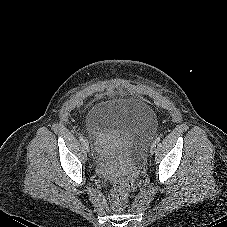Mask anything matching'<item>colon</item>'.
<instances>
[{
    "mask_svg": "<svg viewBox=\"0 0 227 227\" xmlns=\"http://www.w3.org/2000/svg\"><path fill=\"white\" fill-rule=\"evenodd\" d=\"M132 185L131 180L121 178L115 180L110 194V201L114 209L120 211L125 208Z\"/></svg>",
    "mask_w": 227,
    "mask_h": 227,
    "instance_id": "colon-1",
    "label": "colon"
}]
</instances>
